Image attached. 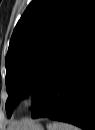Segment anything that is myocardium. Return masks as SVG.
Instances as JSON below:
<instances>
[{
	"mask_svg": "<svg viewBox=\"0 0 95 130\" xmlns=\"http://www.w3.org/2000/svg\"><path fill=\"white\" fill-rule=\"evenodd\" d=\"M40 99V92L36 88L25 89L20 96V102L25 106H32Z\"/></svg>",
	"mask_w": 95,
	"mask_h": 130,
	"instance_id": "myocardium-1",
	"label": "myocardium"
}]
</instances>
